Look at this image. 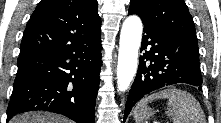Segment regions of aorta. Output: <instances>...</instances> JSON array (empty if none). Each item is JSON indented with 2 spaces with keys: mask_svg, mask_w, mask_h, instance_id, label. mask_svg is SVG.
<instances>
[{
  "mask_svg": "<svg viewBox=\"0 0 221 123\" xmlns=\"http://www.w3.org/2000/svg\"><path fill=\"white\" fill-rule=\"evenodd\" d=\"M142 38V22L138 16H129L123 22L117 65V88L126 91L138 67V51Z\"/></svg>",
  "mask_w": 221,
  "mask_h": 123,
  "instance_id": "1",
  "label": "aorta"
}]
</instances>
